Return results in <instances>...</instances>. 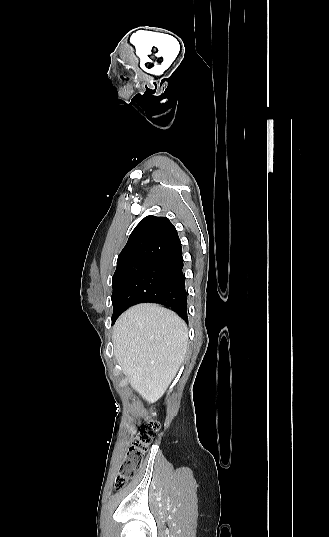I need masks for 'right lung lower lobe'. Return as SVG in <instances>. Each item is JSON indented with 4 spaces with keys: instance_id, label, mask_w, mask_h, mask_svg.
Instances as JSON below:
<instances>
[{
    "instance_id": "right-lung-lower-lobe-1",
    "label": "right lung lower lobe",
    "mask_w": 329,
    "mask_h": 537,
    "mask_svg": "<svg viewBox=\"0 0 329 537\" xmlns=\"http://www.w3.org/2000/svg\"><path fill=\"white\" fill-rule=\"evenodd\" d=\"M183 267L181 243L151 261L123 295L120 310L112 318V323L127 307L139 302L163 304L187 321V292Z\"/></svg>"
}]
</instances>
